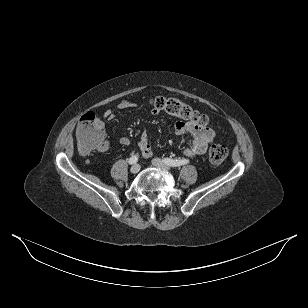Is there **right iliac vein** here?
<instances>
[{"instance_id": "right-iliac-vein-1", "label": "right iliac vein", "mask_w": 308, "mask_h": 308, "mask_svg": "<svg viewBox=\"0 0 308 308\" xmlns=\"http://www.w3.org/2000/svg\"><path fill=\"white\" fill-rule=\"evenodd\" d=\"M139 170H140V165H138V164H135V165H133V166L130 168V172L133 173V174L138 173Z\"/></svg>"}]
</instances>
